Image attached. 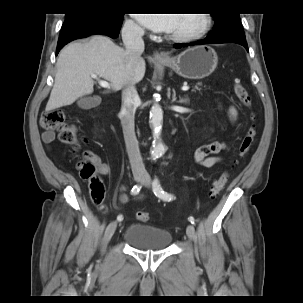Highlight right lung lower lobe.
<instances>
[{"label":"right lung lower lobe","mask_w":303,"mask_h":303,"mask_svg":"<svg viewBox=\"0 0 303 303\" xmlns=\"http://www.w3.org/2000/svg\"><path fill=\"white\" fill-rule=\"evenodd\" d=\"M123 17H112L92 13L67 15L62 25L56 55L69 42L93 34H103L116 38L122 26Z\"/></svg>","instance_id":"right-lung-lower-lobe-1"}]
</instances>
